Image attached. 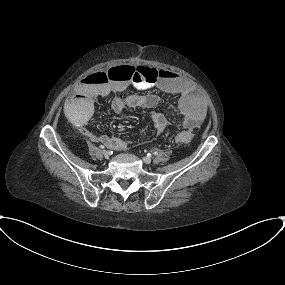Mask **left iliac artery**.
Masks as SVG:
<instances>
[{"label": "left iliac artery", "mask_w": 285, "mask_h": 285, "mask_svg": "<svg viewBox=\"0 0 285 285\" xmlns=\"http://www.w3.org/2000/svg\"><path fill=\"white\" fill-rule=\"evenodd\" d=\"M153 154H154V155H158V152H157V151H154Z\"/></svg>", "instance_id": "left-iliac-artery-1"}]
</instances>
